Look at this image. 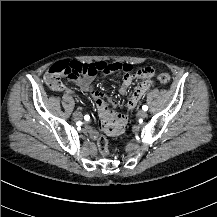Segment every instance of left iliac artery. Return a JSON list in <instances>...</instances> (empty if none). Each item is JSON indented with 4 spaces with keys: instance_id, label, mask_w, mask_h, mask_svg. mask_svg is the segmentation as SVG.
<instances>
[{
    "instance_id": "44dca946",
    "label": "left iliac artery",
    "mask_w": 217,
    "mask_h": 217,
    "mask_svg": "<svg viewBox=\"0 0 217 217\" xmlns=\"http://www.w3.org/2000/svg\"><path fill=\"white\" fill-rule=\"evenodd\" d=\"M142 109H143L144 111H147V110H148V106H147V105H143V106H142Z\"/></svg>"
}]
</instances>
